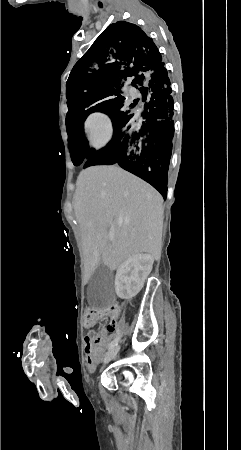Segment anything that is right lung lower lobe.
I'll return each mask as SVG.
<instances>
[{"instance_id":"obj_1","label":"right lung lower lobe","mask_w":241,"mask_h":450,"mask_svg":"<svg viewBox=\"0 0 241 450\" xmlns=\"http://www.w3.org/2000/svg\"><path fill=\"white\" fill-rule=\"evenodd\" d=\"M140 81L142 101L146 104L138 126H134L135 119L121 123L114 128L109 144L95 151L89 150L84 138L86 118L79 117L67 129L70 150L87 158L83 168L118 164L151 184L166 198L174 135L171 83L164 66L145 73Z\"/></svg>"}]
</instances>
